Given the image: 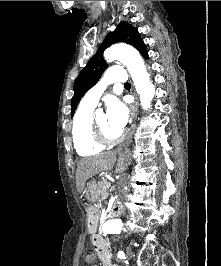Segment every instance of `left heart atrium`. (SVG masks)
Instances as JSON below:
<instances>
[{"label":"left heart atrium","mask_w":221,"mask_h":266,"mask_svg":"<svg viewBox=\"0 0 221 266\" xmlns=\"http://www.w3.org/2000/svg\"><path fill=\"white\" fill-rule=\"evenodd\" d=\"M107 118L110 125L122 131L128 121V110L118 99H110L107 103Z\"/></svg>","instance_id":"1"}]
</instances>
